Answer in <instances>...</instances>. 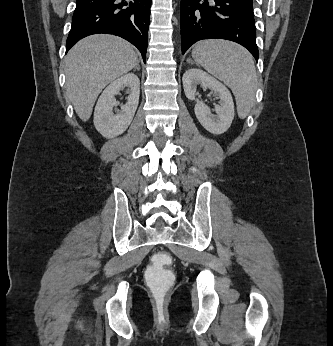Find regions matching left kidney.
Masks as SVG:
<instances>
[{
    "mask_svg": "<svg viewBox=\"0 0 333 346\" xmlns=\"http://www.w3.org/2000/svg\"><path fill=\"white\" fill-rule=\"evenodd\" d=\"M182 80L186 97L196 101L194 110L200 124L215 135L226 132L234 119V103L227 87L205 71L197 68L188 69ZM199 84L211 89L219 96L220 105L215 107L217 115H212L210 108L196 99V88Z\"/></svg>",
    "mask_w": 333,
    "mask_h": 346,
    "instance_id": "5707ae66",
    "label": "left kidney"
}]
</instances>
